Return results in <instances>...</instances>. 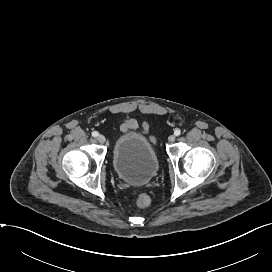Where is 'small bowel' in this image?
<instances>
[{"label": "small bowel", "instance_id": "c3829d8e", "mask_svg": "<svg viewBox=\"0 0 272 272\" xmlns=\"http://www.w3.org/2000/svg\"><path fill=\"white\" fill-rule=\"evenodd\" d=\"M141 128L144 132H146L148 130V126L146 123H139L137 120L135 119H128L126 121H124L121 125V131L122 132H127L129 130H135Z\"/></svg>", "mask_w": 272, "mask_h": 272}]
</instances>
